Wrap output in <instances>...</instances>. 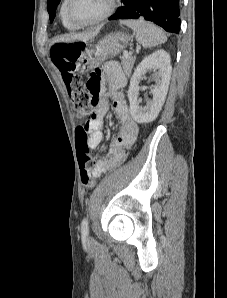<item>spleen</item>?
I'll use <instances>...</instances> for the list:
<instances>
[{
	"mask_svg": "<svg viewBox=\"0 0 227 298\" xmlns=\"http://www.w3.org/2000/svg\"><path fill=\"white\" fill-rule=\"evenodd\" d=\"M121 23L136 33V40L145 48L155 47L167 40L165 33L159 27L143 19L123 20Z\"/></svg>",
	"mask_w": 227,
	"mask_h": 298,
	"instance_id": "3e777b00",
	"label": "spleen"
}]
</instances>
